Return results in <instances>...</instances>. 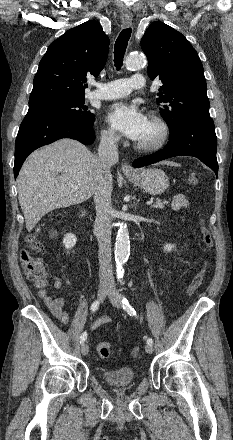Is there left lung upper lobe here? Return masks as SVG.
Masks as SVG:
<instances>
[{"instance_id": "left-lung-upper-lobe-1", "label": "left lung upper lobe", "mask_w": 233, "mask_h": 440, "mask_svg": "<svg viewBox=\"0 0 233 440\" xmlns=\"http://www.w3.org/2000/svg\"><path fill=\"white\" fill-rule=\"evenodd\" d=\"M141 46L148 58L149 77L163 83L157 102L170 135L190 117H210L203 66L187 39L172 27L153 22Z\"/></svg>"}]
</instances>
